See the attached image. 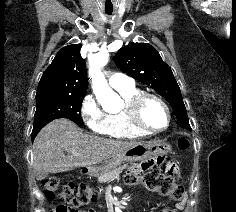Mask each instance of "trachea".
I'll list each match as a JSON object with an SVG mask.
<instances>
[{
  "label": "trachea",
  "mask_w": 236,
  "mask_h": 212,
  "mask_svg": "<svg viewBox=\"0 0 236 212\" xmlns=\"http://www.w3.org/2000/svg\"><path fill=\"white\" fill-rule=\"evenodd\" d=\"M108 15H110L111 14V12H106Z\"/></svg>",
  "instance_id": "1"
}]
</instances>
